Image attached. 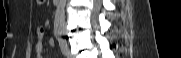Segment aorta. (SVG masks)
<instances>
[{
    "label": "aorta",
    "instance_id": "obj_1",
    "mask_svg": "<svg viewBox=\"0 0 181 58\" xmlns=\"http://www.w3.org/2000/svg\"><path fill=\"white\" fill-rule=\"evenodd\" d=\"M65 6L66 0L58 1L54 18V32L56 33H63L65 31Z\"/></svg>",
    "mask_w": 181,
    "mask_h": 58
}]
</instances>
